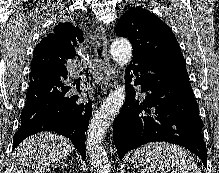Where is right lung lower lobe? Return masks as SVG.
I'll use <instances>...</instances> for the list:
<instances>
[{
  "instance_id": "98d812e1",
  "label": "right lung lower lobe",
  "mask_w": 219,
  "mask_h": 173,
  "mask_svg": "<svg viewBox=\"0 0 219 173\" xmlns=\"http://www.w3.org/2000/svg\"><path fill=\"white\" fill-rule=\"evenodd\" d=\"M68 78L64 63H41L31 68L27 102L21 112V126L13 137V149L32 134L54 131L69 138L86 158L85 132L92 102L76 94ZM77 90L81 92L80 87Z\"/></svg>"
}]
</instances>
